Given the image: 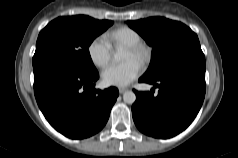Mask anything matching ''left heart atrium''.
I'll return each instance as SVG.
<instances>
[{
	"label": "left heart atrium",
	"mask_w": 238,
	"mask_h": 158,
	"mask_svg": "<svg viewBox=\"0 0 238 158\" xmlns=\"http://www.w3.org/2000/svg\"><path fill=\"white\" fill-rule=\"evenodd\" d=\"M140 64L130 59L120 64H112L102 72V79L109 86L123 87L132 82L140 73Z\"/></svg>",
	"instance_id": "obj_1"
}]
</instances>
